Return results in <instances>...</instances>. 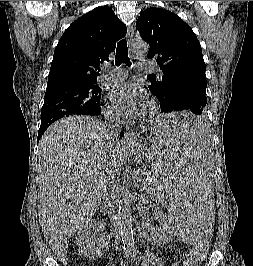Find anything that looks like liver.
<instances>
[{"label": "liver", "instance_id": "6515ba94", "mask_svg": "<svg viewBox=\"0 0 253 266\" xmlns=\"http://www.w3.org/2000/svg\"><path fill=\"white\" fill-rule=\"evenodd\" d=\"M129 146L110 142L91 116H69L52 124L39 142L40 226L63 260L75 232L98 210L108 174L116 173Z\"/></svg>", "mask_w": 253, "mask_h": 266}]
</instances>
